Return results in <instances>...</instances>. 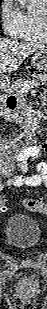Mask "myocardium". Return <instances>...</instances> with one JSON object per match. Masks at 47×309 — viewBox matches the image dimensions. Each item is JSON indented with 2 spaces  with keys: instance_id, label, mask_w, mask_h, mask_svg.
<instances>
[{
  "instance_id": "f54148a6",
  "label": "myocardium",
  "mask_w": 47,
  "mask_h": 309,
  "mask_svg": "<svg viewBox=\"0 0 47 309\" xmlns=\"http://www.w3.org/2000/svg\"><path fill=\"white\" fill-rule=\"evenodd\" d=\"M42 22H43V27H44V33L47 36V15H46V11H43V13H42Z\"/></svg>"
}]
</instances>
